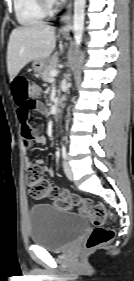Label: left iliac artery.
I'll list each match as a JSON object with an SVG mask.
<instances>
[{
    "mask_svg": "<svg viewBox=\"0 0 134 281\" xmlns=\"http://www.w3.org/2000/svg\"><path fill=\"white\" fill-rule=\"evenodd\" d=\"M62 157L63 159H66L67 158V151H66V147L64 145H62Z\"/></svg>",
    "mask_w": 134,
    "mask_h": 281,
    "instance_id": "obj_1",
    "label": "left iliac artery"
}]
</instances>
